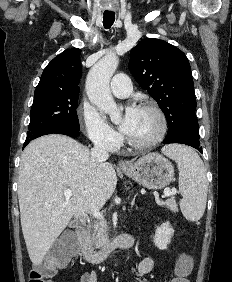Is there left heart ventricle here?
<instances>
[{"instance_id": "left-heart-ventricle-1", "label": "left heart ventricle", "mask_w": 232, "mask_h": 282, "mask_svg": "<svg viewBox=\"0 0 232 282\" xmlns=\"http://www.w3.org/2000/svg\"><path fill=\"white\" fill-rule=\"evenodd\" d=\"M158 129L159 120L157 116L151 111L140 108L137 121L128 137L138 142L147 141L156 135Z\"/></svg>"}]
</instances>
